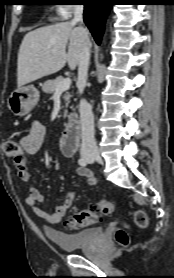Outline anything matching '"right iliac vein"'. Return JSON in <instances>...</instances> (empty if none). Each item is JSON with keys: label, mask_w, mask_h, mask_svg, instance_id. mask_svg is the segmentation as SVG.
I'll return each mask as SVG.
<instances>
[{"label": "right iliac vein", "mask_w": 174, "mask_h": 278, "mask_svg": "<svg viewBox=\"0 0 174 278\" xmlns=\"http://www.w3.org/2000/svg\"><path fill=\"white\" fill-rule=\"evenodd\" d=\"M85 158L88 160H96L99 163H102V159H101L98 151H93V152H89V153L85 154Z\"/></svg>", "instance_id": "63e3f726"}]
</instances>
